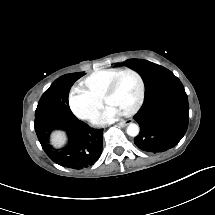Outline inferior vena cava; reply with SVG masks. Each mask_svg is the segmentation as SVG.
Returning a JSON list of instances; mask_svg holds the SVG:
<instances>
[{
	"label": "inferior vena cava",
	"instance_id": "obj_1",
	"mask_svg": "<svg viewBox=\"0 0 215 215\" xmlns=\"http://www.w3.org/2000/svg\"><path fill=\"white\" fill-rule=\"evenodd\" d=\"M90 120H91L92 122H96V121H98V119H97V118H90Z\"/></svg>",
	"mask_w": 215,
	"mask_h": 215
}]
</instances>
